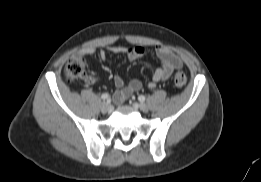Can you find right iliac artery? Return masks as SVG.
Wrapping results in <instances>:
<instances>
[{
	"label": "right iliac artery",
	"mask_w": 261,
	"mask_h": 182,
	"mask_svg": "<svg viewBox=\"0 0 261 182\" xmlns=\"http://www.w3.org/2000/svg\"><path fill=\"white\" fill-rule=\"evenodd\" d=\"M101 98L105 101V100H109L110 99V96H109V94L108 93H103L102 95H101Z\"/></svg>",
	"instance_id": "obj_1"
}]
</instances>
